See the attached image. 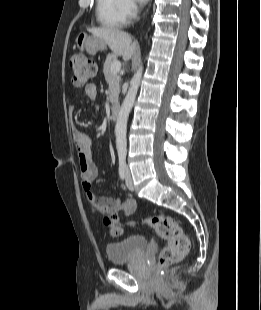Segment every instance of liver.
<instances>
[{
  "label": "liver",
  "mask_w": 261,
  "mask_h": 310,
  "mask_svg": "<svg viewBox=\"0 0 261 310\" xmlns=\"http://www.w3.org/2000/svg\"><path fill=\"white\" fill-rule=\"evenodd\" d=\"M94 37L103 40L115 55L122 56L124 61H129L135 53L136 45L132 44L131 36L116 28H90Z\"/></svg>",
  "instance_id": "liver-1"
}]
</instances>
